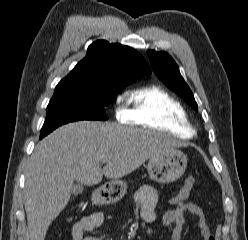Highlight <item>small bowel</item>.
Masks as SVG:
<instances>
[{"instance_id": "small-bowel-1", "label": "small bowel", "mask_w": 248, "mask_h": 240, "mask_svg": "<svg viewBox=\"0 0 248 240\" xmlns=\"http://www.w3.org/2000/svg\"><path fill=\"white\" fill-rule=\"evenodd\" d=\"M134 200L140 208L141 217L147 224L151 225L156 221V205L158 203L157 190L151 185L141 186L134 195ZM189 213L197 220V226L200 229L204 240H216L211 233L205 215L201 208L192 202H184L177 205L174 209L168 210L163 216V223L167 226H173L172 240H181L185 222V214ZM104 220L102 211H96L84 215L72 227V240H102L99 237L91 235V232L98 227ZM148 233L152 232L149 227Z\"/></svg>"}]
</instances>
